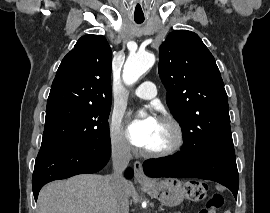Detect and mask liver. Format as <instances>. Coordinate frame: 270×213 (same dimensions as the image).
Segmentation results:
<instances>
[{"label":"liver","instance_id":"1","mask_svg":"<svg viewBox=\"0 0 270 213\" xmlns=\"http://www.w3.org/2000/svg\"><path fill=\"white\" fill-rule=\"evenodd\" d=\"M127 198L132 183L125 182ZM116 203L108 176L84 174L43 187L38 196V213H114Z\"/></svg>","mask_w":270,"mask_h":213}]
</instances>
